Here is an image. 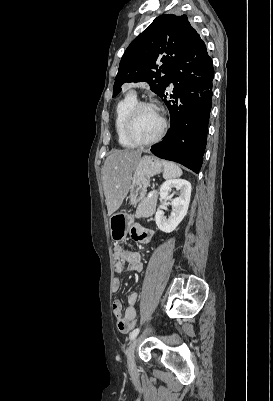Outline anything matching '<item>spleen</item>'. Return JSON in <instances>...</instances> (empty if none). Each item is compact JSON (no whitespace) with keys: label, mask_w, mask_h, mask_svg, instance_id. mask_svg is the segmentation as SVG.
Returning a JSON list of instances; mask_svg holds the SVG:
<instances>
[{"label":"spleen","mask_w":273,"mask_h":401,"mask_svg":"<svg viewBox=\"0 0 273 401\" xmlns=\"http://www.w3.org/2000/svg\"><path fill=\"white\" fill-rule=\"evenodd\" d=\"M161 162L164 166V178H176V176H181L182 170L179 168L178 164L170 162V160H161Z\"/></svg>","instance_id":"obj_1"}]
</instances>
